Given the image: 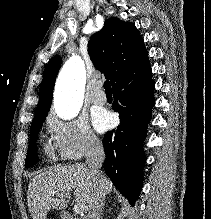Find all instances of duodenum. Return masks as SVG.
<instances>
[{
    "label": "duodenum",
    "instance_id": "410a0bca",
    "mask_svg": "<svg viewBox=\"0 0 211 219\" xmlns=\"http://www.w3.org/2000/svg\"><path fill=\"white\" fill-rule=\"evenodd\" d=\"M61 217L62 219H75L70 212L65 211V210L61 211Z\"/></svg>",
    "mask_w": 211,
    "mask_h": 219
}]
</instances>
